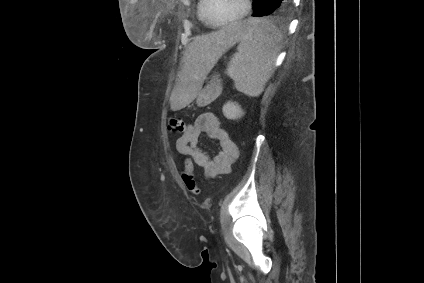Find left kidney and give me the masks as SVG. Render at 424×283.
<instances>
[{
    "mask_svg": "<svg viewBox=\"0 0 424 283\" xmlns=\"http://www.w3.org/2000/svg\"><path fill=\"white\" fill-rule=\"evenodd\" d=\"M223 114L228 119H238L244 115V112L238 104L228 102L223 106Z\"/></svg>",
    "mask_w": 424,
    "mask_h": 283,
    "instance_id": "5707ae66",
    "label": "left kidney"
}]
</instances>
